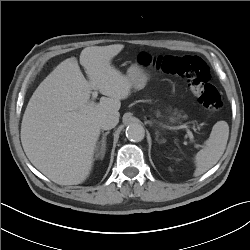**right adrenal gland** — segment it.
Wrapping results in <instances>:
<instances>
[{
    "instance_id": "right-adrenal-gland-1",
    "label": "right adrenal gland",
    "mask_w": 250,
    "mask_h": 250,
    "mask_svg": "<svg viewBox=\"0 0 250 250\" xmlns=\"http://www.w3.org/2000/svg\"><path fill=\"white\" fill-rule=\"evenodd\" d=\"M110 132L107 131L103 134L102 140L98 143V146L96 148L97 154L96 157H99L100 159L104 158L105 152H106V136Z\"/></svg>"
}]
</instances>
